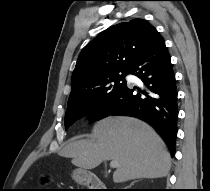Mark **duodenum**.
Masks as SVG:
<instances>
[{
	"instance_id": "obj_1",
	"label": "duodenum",
	"mask_w": 210,
	"mask_h": 191,
	"mask_svg": "<svg viewBox=\"0 0 210 191\" xmlns=\"http://www.w3.org/2000/svg\"><path fill=\"white\" fill-rule=\"evenodd\" d=\"M77 178L80 182L85 183L92 191H111L105 186V183L97 176L88 173L86 170L79 169Z\"/></svg>"
}]
</instances>
